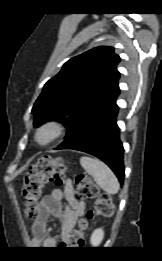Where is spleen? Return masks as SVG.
<instances>
[{
  "mask_svg": "<svg viewBox=\"0 0 162 261\" xmlns=\"http://www.w3.org/2000/svg\"><path fill=\"white\" fill-rule=\"evenodd\" d=\"M80 164L90 174L95 182L108 194H116L119 190V182L112 170L102 161L83 156Z\"/></svg>",
  "mask_w": 162,
  "mask_h": 261,
  "instance_id": "spleen-1",
  "label": "spleen"
}]
</instances>
